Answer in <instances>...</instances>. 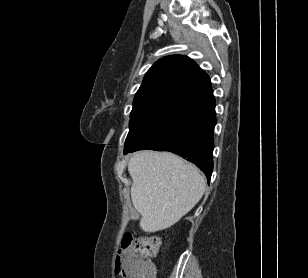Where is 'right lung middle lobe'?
<instances>
[{"label":"right lung middle lobe","instance_id":"dd1d6c3e","mask_svg":"<svg viewBox=\"0 0 308 278\" xmlns=\"http://www.w3.org/2000/svg\"><path fill=\"white\" fill-rule=\"evenodd\" d=\"M175 116L172 113H151L131 117L124 154L157 133Z\"/></svg>","mask_w":308,"mask_h":278}]
</instances>
